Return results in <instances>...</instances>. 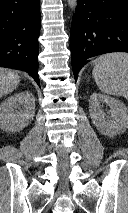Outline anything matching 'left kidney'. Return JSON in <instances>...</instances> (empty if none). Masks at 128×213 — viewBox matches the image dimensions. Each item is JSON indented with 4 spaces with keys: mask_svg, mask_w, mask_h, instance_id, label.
<instances>
[{
    "mask_svg": "<svg viewBox=\"0 0 128 213\" xmlns=\"http://www.w3.org/2000/svg\"><path fill=\"white\" fill-rule=\"evenodd\" d=\"M101 104L110 109L104 112ZM89 112L97 130L105 136L114 137L128 128V108L118 99L93 93L89 99Z\"/></svg>",
    "mask_w": 128,
    "mask_h": 213,
    "instance_id": "left-kidney-1",
    "label": "left kidney"
}]
</instances>
